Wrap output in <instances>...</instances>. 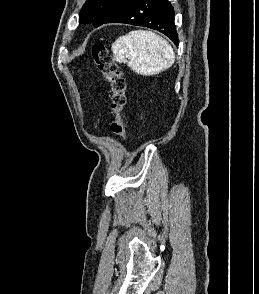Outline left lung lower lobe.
<instances>
[{"label":"left lung lower lobe","mask_w":259,"mask_h":294,"mask_svg":"<svg viewBox=\"0 0 259 294\" xmlns=\"http://www.w3.org/2000/svg\"><path fill=\"white\" fill-rule=\"evenodd\" d=\"M106 23H126L158 30L179 44L174 24V10L168 0H125L104 20Z\"/></svg>","instance_id":"1"}]
</instances>
